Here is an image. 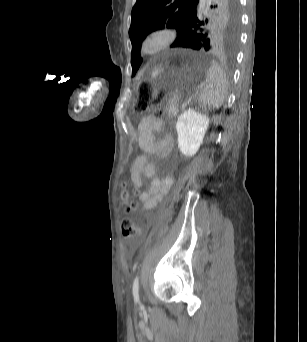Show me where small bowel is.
<instances>
[{
	"label": "small bowel",
	"mask_w": 307,
	"mask_h": 342,
	"mask_svg": "<svg viewBox=\"0 0 307 342\" xmlns=\"http://www.w3.org/2000/svg\"><path fill=\"white\" fill-rule=\"evenodd\" d=\"M163 132V121L151 115L145 116L138 126L137 141L143 154L134 160L130 168V178L135 187L142 185L143 176L151 179L149 189L142 192L139 197L142 207L146 211L156 207L172 184L170 176H166L162 181L157 178L155 176L156 167L148 160L151 155L164 158L173 148V137L170 133L164 134L161 139H156L155 134Z\"/></svg>",
	"instance_id": "small-bowel-1"
}]
</instances>
